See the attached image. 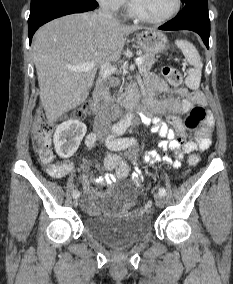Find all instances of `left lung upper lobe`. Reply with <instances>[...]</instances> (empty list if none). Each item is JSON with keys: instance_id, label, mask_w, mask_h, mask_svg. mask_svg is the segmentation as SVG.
Segmentation results:
<instances>
[{"instance_id": "obj_1", "label": "left lung upper lobe", "mask_w": 233, "mask_h": 284, "mask_svg": "<svg viewBox=\"0 0 233 284\" xmlns=\"http://www.w3.org/2000/svg\"><path fill=\"white\" fill-rule=\"evenodd\" d=\"M191 0H182V3L186 4L188 2H190Z\"/></svg>"}]
</instances>
